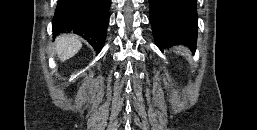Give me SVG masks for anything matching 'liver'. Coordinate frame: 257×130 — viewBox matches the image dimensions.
I'll return each mask as SVG.
<instances>
[{"instance_id":"6515ba94","label":"liver","mask_w":257,"mask_h":130,"mask_svg":"<svg viewBox=\"0 0 257 130\" xmlns=\"http://www.w3.org/2000/svg\"><path fill=\"white\" fill-rule=\"evenodd\" d=\"M81 47L79 38L71 34L61 35L55 41V52L61 61L73 57Z\"/></svg>"}]
</instances>
